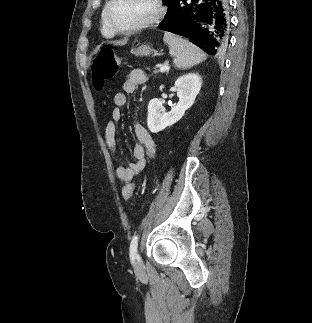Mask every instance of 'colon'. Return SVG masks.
<instances>
[{
	"label": "colon",
	"mask_w": 312,
	"mask_h": 323,
	"mask_svg": "<svg viewBox=\"0 0 312 323\" xmlns=\"http://www.w3.org/2000/svg\"><path fill=\"white\" fill-rule=\"evenodd\" d=\"M121 59L117 58L114 49L110 46H103L93 60L92 78L97 82L99 88L103 81L113 78L120 69ZM134 186L125 184L122 190L123 200H130Z\"/></svg>",
	"instance_id": "obj_1"
}]
</instances>
